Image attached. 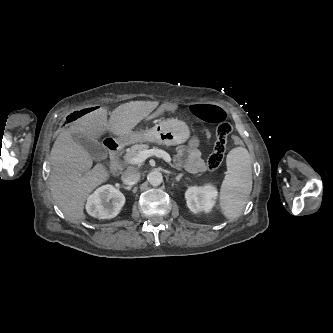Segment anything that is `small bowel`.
Instances as JSON below:
<instances>
[{"label": "small bowel", "instance_id": "obj_1", "mask_svg": "<svg viewBox=\"0 0 333 333\" xmlns=\"http://www.w3.org/2000/svg\"><path fill=\"white\" fill-rule=\"evenodd\" d=\"M176 110L177 105L175 103H169L164 107L158 106L154 111L158 116H167ZM154 114L155 113L151 111L145 118H142L140 121L144 123L145 121H148ZM187 118L192 122L195 120L191 115H189ZM193 123L198 127L201 125L197 120H195ZM202 130L204 131V138L207 140L209 138L207 136L208 133L206 132L207 128L204 126ZM206 145L210 147L212 144L208 142ZM177 158L179 163H181L190 173H200L205 170V162L201 157V152L198 149L197 143L195 141H193L189 146L179 147L177 150Z\"/></svg>", "mask_w": 333, "mask_h": 333}]
</instances>
